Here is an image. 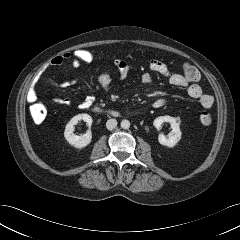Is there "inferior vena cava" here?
I'll return each instance as SVG.
<instances>
[{
	"instance_id": "inferior-vena-cava-1",
	"label": "inferior vena cava",
	"mask_w": 240,
	"mask_h": 240,
	"mask_svg": "<svg viewBox=\"0 0 240 240\" xmlns=\"http://www.w3.org/2000/svg\"><path fill=\"white\" fill-rule=\"evenodd\" d=\"M116 126H117V120L116 119H109V120H107L106 128L108 130H113V129L116 128Z\"/></svg>"
}]
</instances>
